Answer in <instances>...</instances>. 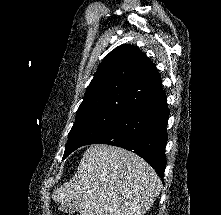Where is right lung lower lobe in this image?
<instances>
[{
  "label": "right lung lower lobe",
  "instance_id": "1",
  "mask_svg": "<svg viewBox=\"0 0 221 215\" xmlns=\"http://www.w3.org/2000/svg\"><path fill=\"white\" fill-rule=\"evenodd\" d=\"M169 109L162 90L152 99L121 116L86 145L108 144L125 148L145 159L163 178Z\"/></svg>",
  "mask_w": 221,
  "mask_h": 215
}]
</instances>
